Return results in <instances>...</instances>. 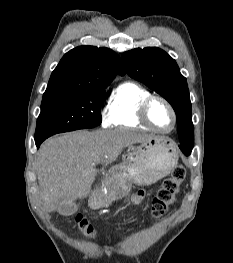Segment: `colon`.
<instances>
[{"mask_svg": "<svg viewBox=\"0 0 233 263\" xmlns=\"http://www.w3.org/2000/svg\"><path fill=\"white\" fill-rule=\"evenodd\" d=\"M185 176L186 170L184 166L178 165L174 168L171 175L163 181L152 203L151 214L153 218H160L166 214L169 207L175 202L176 195L180 191ZM75 225L84 236L94 237L96 235L92 225L81 217L76 219Z\"/></svg>", "mask_w": 233, "mask_h": 263, "instance_id": "1", "label": "colon"}]
</instances>
